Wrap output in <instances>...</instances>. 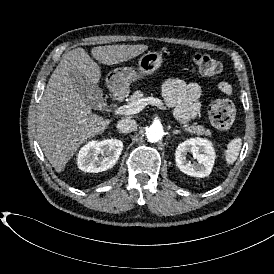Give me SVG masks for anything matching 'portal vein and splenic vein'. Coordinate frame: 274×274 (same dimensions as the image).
<instances>
[{"instance_id":"1","label":"portal vein and splenic vein","mask_w":274,"mask_h":274,"mask_svg":"<svg viewBox=\"0 0 274 274\" xmlns=\"http://www.w3.org/2000/svg\"><path fill=\"white\" fill-rule=\"evenodd\" d=\"M155 101L153 97H144L141 99H137L134 103H128L127 105H123L120 107H115L112 110L115 115H131L139 113L147 104H151Z\"/></svg>"}]
</instances>
